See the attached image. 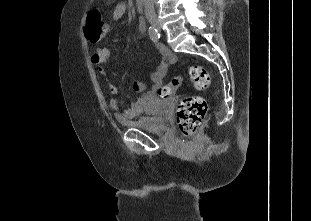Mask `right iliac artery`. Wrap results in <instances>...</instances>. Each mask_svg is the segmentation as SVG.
<instances>
[{
	"label": "right iliac artery",
	"mask_w": 311,
	"mask_h": 221,
	"mask_svg": "<svg viewBox=\"0 0 311 221\" xmlns=\"http://www.w3.org/2000/svg\"><path fill=\"white\" fill-rule=\"evenodd\" d=\"M148 33L152 41L157 42L159 40L160 34L155 27L150 26L148 29Z\"/></svg>",
	"instance_id": "1"
}]
</instances>
